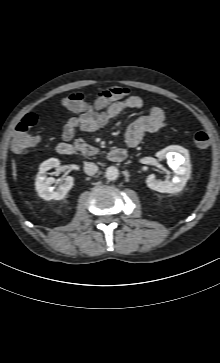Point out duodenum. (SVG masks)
Returning a JSON list of instances; mask_svg holds the SVG:
<instances>
[{
    "label": "duodenum",
    "instance_id": "obj_1",
    "mask_svg": "<svg viewBox=\"0 0 220 363\" xmlns=\"http://www.w3.org/2000/svg\"><path fill=\"white\" fill-rule=\"evenodd\" d=\"M57 152L61 156H73L77 153L74 145L69 143H60L57 146ZM127 157V150L123 148L111 149L108 153V160L112 163H119Z\"/></svg>",
    "mask_w": 220,
    "mask_h": 363
}]
</instances>
